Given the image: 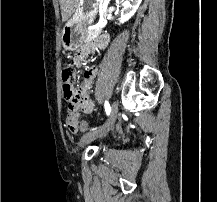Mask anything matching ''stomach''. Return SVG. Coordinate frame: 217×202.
Here are the masks:
<instances>
[{"mask_svg":"<svg viewBox=\"0 0 217 202\" xmlns=\"http://www.w3.org/2000/svg\"><path fill=\"white\" fill-rule=\"evenodd\" d=\"M99 0H78L75 12L65 24L61 42L64 50L74 52L84 44L87 36V26L94 22Z\"/></svg>","mask_w":217,"mask_h":202,"instance_id":"1","label":"stomach"}]
</instances>
